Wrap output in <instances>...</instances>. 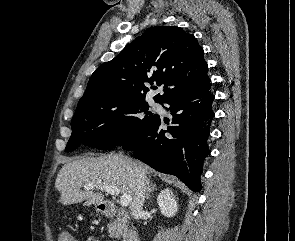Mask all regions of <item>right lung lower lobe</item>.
<instances>
[{"label": "right lung lower lobe", "mask_w": 295, "mask_h": 241, "mask_svg": "<svg viewBox=\"0 0 295 241\" xmlns=\"http://www.w3.org/2000/svg\"><path fill=\"white\" fill-rule=\"evenodd\" d=\"M210 80L201 86L173 95L163 103L172 115V121L159 116L141 133L122 144L135 157L154 169L177 176L192 191L202 186L199 178L203 162L210 150L207 139L214 117ZM170 124L166 129L162 126Z\"/></svg>", "instance_id": "obj_1"}]
</instances>
